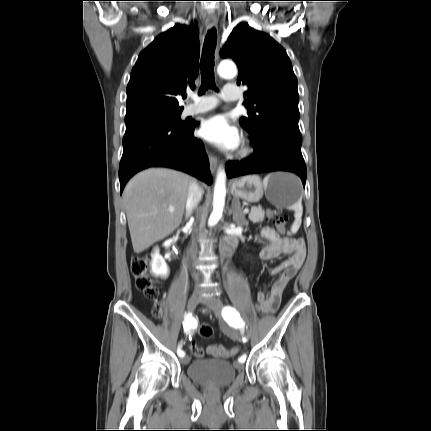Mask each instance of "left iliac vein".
<instances>
[{
  "mask_svg": "<svg viewBox=\"0 0 431 431\" xmlns=\"http://www.w3.org/2000/svg\"><path fill=\"white\" fill-rule=\"evenodd\" d=\"M201 303L206 305L207 307H209L210 309H212V311L214 312V314L219 317L221 315V311L223 308V303L222 301L214 296H205L201 298ZM235 366L238 369H242L244 367L243 363H241L240 361H237L235 363Z\"/></svg>",
  "mask_w": 431,
  "mask_h": 431,
  "instance_id": "left-iliac-vein-1",
  "label": "left iliac vein"
}]
</instances>
